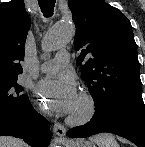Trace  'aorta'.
Returning <instances> with one entry per match:
<instances>
[{
  "label": "aorta",
  "instance_id": "1",
  "mask_svg": "<svg viewBox=\"0 0 145 147\" xmlns=\"http://www.w3.org/2000/svg\"><path fill=\"white\" fill-rule=\"evenodd\" d=\"M74 31V25L70 21L57 23L46 33L42 42L43 50L45 52H51L65 46L72 38ZM51 147L58 146L51 144Z\"/></svg>",
  "mask_w": 145,
  "mask_h": 147
}]
</instances>
